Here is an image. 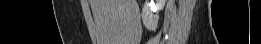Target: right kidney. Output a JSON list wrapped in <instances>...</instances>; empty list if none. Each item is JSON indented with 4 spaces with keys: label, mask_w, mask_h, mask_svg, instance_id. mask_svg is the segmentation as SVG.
Wrapping results in <instances>:
<instances>
[{
    "label": "right kidney",
    "mask_w": 261,
    "mask_h": 44,
    "mask_svg": "<svg viewBox=\"0 0 261 44\" xmlns=\"http://www.w3.org/2000/svg\"><path fill=\"white\" fill-rule=\"evenodd\" d=\"M166 0H158L157 3H154V0H151L150 3L146 2L142 9V21L144 26L148 30H155L158 24L159 16L154 14L157 10L160 11L163 9Z\"/></svg>",
    "instance_id": "right-kidney-1"
}]
</instances>
